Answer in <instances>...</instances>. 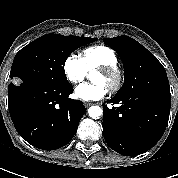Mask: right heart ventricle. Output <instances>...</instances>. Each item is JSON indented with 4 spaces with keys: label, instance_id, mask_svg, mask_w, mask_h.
I'll use <instances>...</instances> for the list:
<instances>
[{
    "label": "right heart ventricle",
    "instance_id": "1",
    "mask_svg": "<svg viewBox=\"0 0 178 178\" xmlns=\"http://www.w3.org/2000/svg\"><path fill=\"white\" fill-rule=\"evenodd\" d=\"M81 60L87 71L105 65H117V54L105 45H95L83 50Z\"/></svg>",
    "mask_w": 178,
    "mask_h": 178
}]
</instances>
